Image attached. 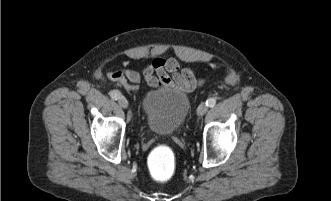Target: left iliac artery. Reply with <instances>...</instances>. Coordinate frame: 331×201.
<instances>
[{
  "label": "left iliac artery",
  "mask_w": 331,
  "mask_h": 201,
  "mask_svg": "<svg viewBox=\"0 0 331 201\" xmlns=\"http://www.w3.org/2000/svg\"><path fill=\"white\" fill-rule=\"evenodd\" d=\"M215 104H216V99H215V98H209V99L206 101V105H207L208 107H213Z\"/></svg>",
  "instance_id": "1"
}]
</instances>
